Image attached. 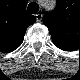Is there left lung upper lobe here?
Listing matches in <instances>:
<instances>
[{
  "mask_svg": "<svg viewBox=\"0 0 80 80\" xmlns=\"http://www.w3.org/2000/svg\"><path fill=\"white\" fill-rule=\"evenodd\" d=\"M68 3L69 0H58L56 10L53 13H46L43 17V23L48 27L52 39L58 47L70 45V40L78 28Z\"/></svg>",
  "mask_w": 80,
  "mask_h": 80,
  "instance_id": "5c2ea615",
  "label": "left lung upper lobe"
}]
</instances>
